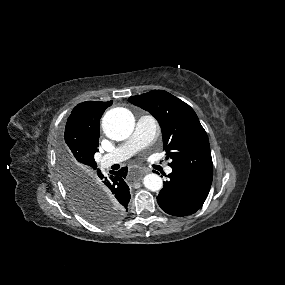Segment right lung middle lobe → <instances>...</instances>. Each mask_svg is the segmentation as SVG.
I'll return each instance as SVG.
<instances>
[{"label":"right lung middle lobe","instance_id":"obj_1","mask_svg":"<svg viewBox=\"0 0 285 285\" xmlns=\"http://www.w3.org/2000/svg\"><path fill=\"white\" fill-rule=\"evenodd\" d=\"M59 168L68 196L77 212L96 225H108L118 220L124 212L112 202L100 197L90 188L93 174L78 162L73 161L65 147L59 148Z\"/></svg>","mask_w":285,"mask_h":285}]
</instances>
